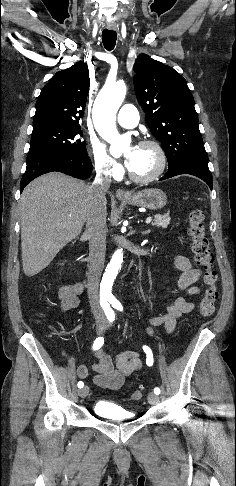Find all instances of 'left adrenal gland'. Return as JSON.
<instances>
[{
	"instance_id": "a2214340",
	"label": "left adrenal gland",
	"mask_w": 236,
	"mask_h": 486,
	"mask_svg": "<svg viewBox=\"0 0 236 486\" xmlns=\"http://www.w3.org/2000/svg\"><path fill=\"white\" fill-rule=\"evenodd\" d=\"M148 233H150V230H147V231L142 232L143 235H146Z\"/></svg>"
}]
</instances>
